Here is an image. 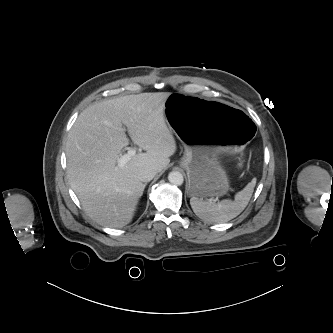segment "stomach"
I'll use <instances>...</instances> for the list:
<instances>
[{
	"label": "stomach",
	"instance_id": "0dacf381",
	"mask_svg": "<svg viewBox=\"0 0 333 333\" xmlns=\"http://www.w3.org/2000/svg\"><path fill=\"white\" fill-rule=\"evenodd\" d=\"M166 121L189 156L188 193L222 196L229 190L220 155L234 153L255 134L251 118L226 102L171 93L165 102Z\"/></svg>",
	"mask_w": 333,
	"mask_h": 333
}]
</instances>
